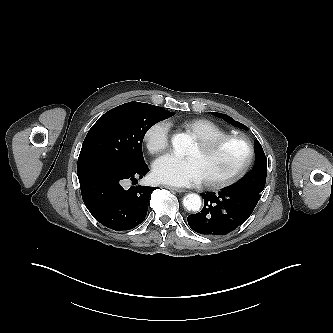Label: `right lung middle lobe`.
<instances>
[{
    "instance_id": "right-lung-middle-lobe-1",
    "label": "right lung middle lobe",
    "mask_w": 333,
    "mask_h": 333,
    "mask_svg": "<svg viewBox=\"0 0 333 333\" xmlns=\"http://www.w3.org/2000/svg\"><path fill=\"white\" fill-rule=\"evenodd\" d=\"M173 115L158 106L140 102L117 106L91 127L78 161L105 158L140 166L144 163L142 141L146 132L155 123Z\"/></svg>"
}]
</instances>
